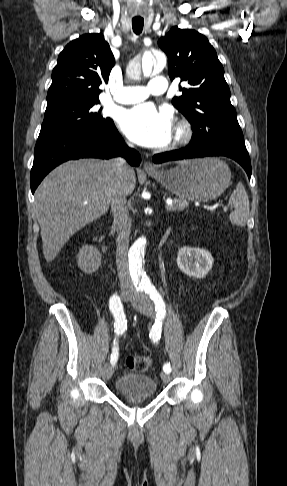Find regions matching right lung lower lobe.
<instances>
[{
	"label": "right lung lower lobe",
	"mask_w": 287,
	"mask_h": 486,
	"mask_svg": "<svg viewBox=\"0 0 287 486\" xmlns=\"http://www.w3.org/2000/svg\"><path fill=\"white\" fill-rule=\"evenodd\" d=\"M116 156L125 157L132 166L141 162L139 153L124 144L112 120L106 127L91 133L38 138L31 169V191L34 193L42 179L67 160Z\"/></svg>",
	"instance_id": "obj_1"
}]
</instances>
